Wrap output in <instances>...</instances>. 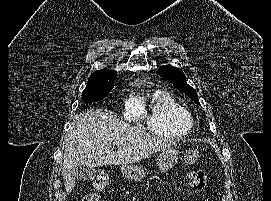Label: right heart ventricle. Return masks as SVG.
Wrapping results in <instances>:
<instances>
[{
	"instance_id": "obj_1",
	"label": "right heart ventricle",
	"mask_w": 271,
	"mask_h": 201,
	"mask_svg": "<svg viewBox=\"0 0 271 201\" xmlns=\"http://www.w3.org/2000/svg\"><path fill=\"white\" fill-rule=\"evenodd\" d=\"M143 115L148 131L158 136L180 137L193 128L191 113L164 91H156L152 95L150 109Z\"/></svg>"
}]
</instances>
